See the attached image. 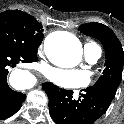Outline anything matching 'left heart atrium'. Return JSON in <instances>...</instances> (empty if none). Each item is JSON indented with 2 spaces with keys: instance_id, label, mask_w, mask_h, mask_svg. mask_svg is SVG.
<instances>
[{
  "instance_id": "obj_1",
  "label": "left heart atrium",
  "mask_w": 124,
  "mask_h": 124,
  "mask_svg": "<svg viewBox=\"0 0 124 124\" xmlns=\"http://www.w3.org/2000/svg\"><path fill=\"white\" fill-rule=\"evenodd\" d=\"M46 75L53 83L67 89L86 86L90 81L88 73L78 69L48 68Z\"/></svg>"
}]
</instances>
